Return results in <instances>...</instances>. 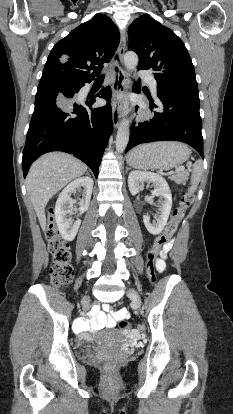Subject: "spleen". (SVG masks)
Here are the masks:
<instances>
[{"instance_id": "spleen-1", "label": "spleen", "mask_w": 233, "mask_h": 414, "mask_svg": "<svg viewBox=\"0 0 233 414\" xmlns=\"http://www.w3.org/2000/svg\"><path fill=\"white\" fill-rule=\"evenodd\" d=\"M202 173H203L202 161L198 160L195 162L193 169H192L191 184H193L194 186L197 185V183L200 181Z\"/></svg>"}]
</instances>
